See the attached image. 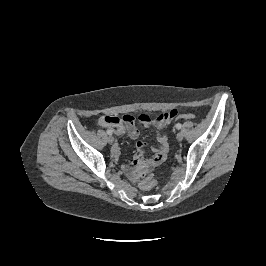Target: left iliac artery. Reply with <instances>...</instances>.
Here are the masks:
<instances>
[{
  "label": "left iliac artery",
  "instance_id": "1",
  "mask_svg": "<svg viewBox=\"0 0 266 266\" xmlns=\"http://www.w3.org/2000/svg\"><path fill=\"white\" fill-rule=\"evenodd\" d=\"M175 127H176L177 129H180V128H181V124H180V123H177Z\"/></svg>",
  "mask_w": 266,
  "mask_h": 266
}]
</instances>
